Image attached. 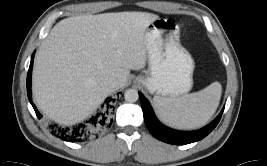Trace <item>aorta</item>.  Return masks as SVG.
<instances>
[{"label":"aorta","mask_w":267,"mask_h":166,"mask_svg":"<svg viewBox=\"0 0 267 166\" xmlns=\"http://www.w3.org/2000/svg\"><path fill=\"white\" fill-rule=\"evenodd\" d=\"M124 98L127 102H136L139 98L138 92L135 89H128L124 93Z\"/></svg>","instance_id":"1"}]
</instances>
